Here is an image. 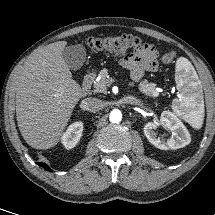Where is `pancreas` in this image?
Returning a JSON list of instances; mask_svg holds the SVG:
<instances>
[{
  "mask_svg": "<svg viewBox=\"0 0 215 215\" xmlns=\"http://www.w3.org/2000/svg\"><path fill=\"white\" fill-rule=\"evenodd\" d=\"M99 79L96 80L93 84L94 92L96 93H106L107 86L111 84V79L108 78V70L103 69L99 72ZM139 90L146 95L155 96L157 91L155 90V85L148 83V81L144 80L139 84Z\"/></svg>",
  "mask_w": 215,
  "mask_h": 215,
  "instance_id": "1",
  "label": "pancreas"
}]
</instances>
